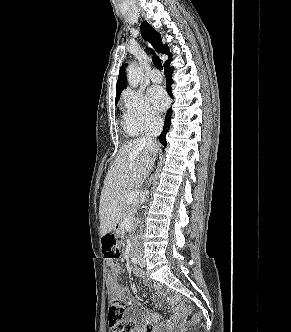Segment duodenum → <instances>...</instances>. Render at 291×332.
<instances>
[{"mask_svg": "<svg viewBox=\"0 0 291 332\" xmlns=\"http://www.w3.org/2000/svg\"><path fill=\"white\" fill-rule=\"evenodd\" d=\"M135 248H136V244L134 241H132L130 244V247H129V252H128L129 257H133L135 255Z\"/></svg>", "mask_w": 291, "mask_h": 332, "instance_id": "duodenum-1", "label": "duodenum"}]
</instances>
